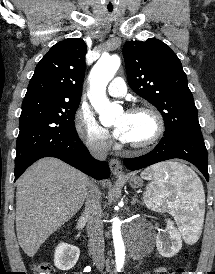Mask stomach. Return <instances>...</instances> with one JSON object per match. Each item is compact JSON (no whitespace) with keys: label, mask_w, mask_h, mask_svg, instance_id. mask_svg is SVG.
<instances>
[{"label":"stomach","mask_w":215,"mask_h":274,"mask_svg":"<svg viewBox=\"0 0 215 274\" xmlns=\"http://www.w3.org/2000/svg\"><path fill=\"white\" fill-rule=\"evenodd\" d=\"M129 183L134 188L141 187L143 185V181L138 176H131L129 178Z\"/></svg>","instance_id":"0dacf381"}]
</instances>
